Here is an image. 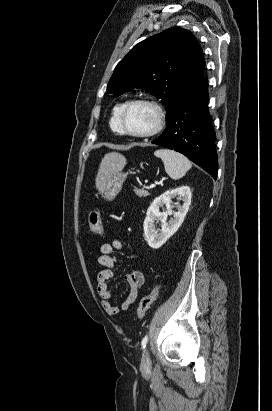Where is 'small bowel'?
I'll return each mask as SVG.
<instances>
[{"label": "small bowel", "instance_id": "small-bowel-1", "mask_svg": "<svg viewBox=\"0 0 272 411\" xmlns=\"http://www.w3.org/2000/svg\"><path fill=\"white\" fill-rule=\"evenodd\" d=\"M127 249L133 252V249L122 240H114L111 243H103L100 246V256L98 263L104 267L98 275V295L101 298V305L104 311L110 316H116L119 313V308L110 302L112 296L109 287V282L113 278V269L117 259L114 256L115 250ZM126 280L129 284L130 291L126 299L121 304V310L127 312L136 302L142 287L145 284V275L139 269H132L126 274Z\"/></svg>", "mask_w": 272, "mask_h": 411}]
</instances>
